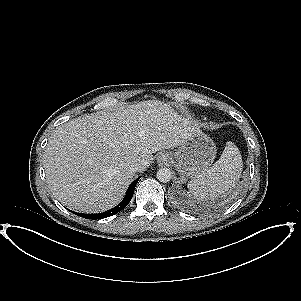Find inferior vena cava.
Segmentation results:
<instances>
[{
    "mask_svg": "<svg viewBox=\"0 0 301 301\" xmlns=\"http://www.w3.org/2000/svg\"><path fill=\"white\" fill-rule=\"evenodd\" d=\"M144 169V165L143 164H139V163H133L129 166V170L132 173H136L139 171H142Z\"/></svg>",
    "mask_w": 301,
    "mask_h": 301,
    "instance_id": "602c4592",
    "label": "inferior vena cava"
}]
</instances>
